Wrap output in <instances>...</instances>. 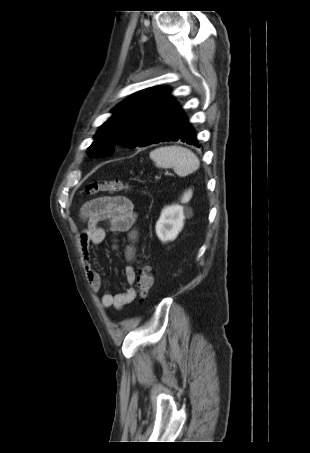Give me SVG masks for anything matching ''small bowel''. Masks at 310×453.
I'll return each mask as SVG.
<instances>
[{
    "instance_id": "c3829d8e",
    "label": "small bowel",
    "mask_w": 310,
    "mask_h": 453,
    "mask_svg": "<svg viewBox=\"0 0 310 453\" xmlns=\"http://www.w3.org/2000/svg\"><path fill=\"white\" fill-rule=\"evenodd\" d=\"M85 228L80 234V245L83 256L85 274L92 290L98 293L104 286L101 275L91 264L90 246L101 244L108 231L127 234V244L124 248L125 278L128 289L121 293H105L101 297V306L105 309L114 307L121 309L130 304L136 297L134 283L136 271L133 262L136 257V242L138 231L135 227L137 214L133 203L125 196H102L87 201L80 211Z\"/></svg>"
}]
</instances>
